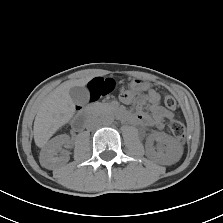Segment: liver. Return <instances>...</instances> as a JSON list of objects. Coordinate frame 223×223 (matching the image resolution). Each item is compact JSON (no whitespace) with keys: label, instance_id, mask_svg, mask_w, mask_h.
<instances>
[{"label":"liver","instance_id":"obj_1","mask_svg":"<svg viewBox=\"0 0 223 223\" xmlns=\"http://www.w3.org/2000/svg\"><path fill=\"white\" fill-rule=\"evenodd\" d=\"M90 79L87 77L66 81L42 102L33 127L34 141L38 147L43 148L53 134L73 117L75 104L69 94L70 89L85 86Z\"/></svg>","mask_w":223,"mask_h":223}]
</instances>
